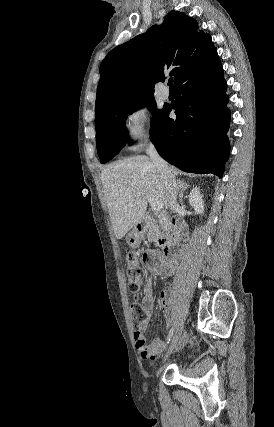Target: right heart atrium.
Returning <instances> with one entry per match:
<instances>
[{
	"instance_id": "d8ad5b80",
	"label": "right heart atrium",
	"mask_w": 274,
	"mask_h": 427,
	"mask_svg": "<svg viewBox=\"0 0 274 427\" xmlns=\"http://www.w3.org/2000/svg\"><path fill=\"white\" fill-rule=\"evenodd\" d=\"M123 133L126 144L135 151L151 141V116L145 106L133 107L125 113Z\"/></svg>"
}]
</instances>
